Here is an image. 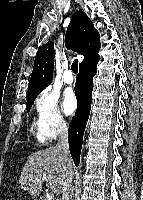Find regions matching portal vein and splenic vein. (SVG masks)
Instances as JSON below:
<instances>
[{
  "label": "portal vein and splenic vein",
  "instance_id": "obj_1",
  "mask_svg": "<svg viewBox=\"0 0 143 200\" xmlns=\"http://www.w3.org/2000/svg\"><path fill=\"white\" fill-rule=\"evenodd\" d=\"M43 179H46V173L43 175ZM46 200H54V195L51 193L46 194Z\"/></svg>",
  "mask_w": 143,
  "mask_h": 200
}]
</instances>
